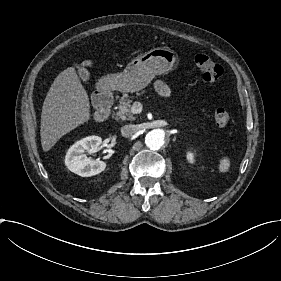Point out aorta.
Instances as JSON below:
<instances>
[{
	"mask_svg": "<svg viewBox=\"0 0 281 281\" xmlns=\"http://www.w3.org/2000/svg\"><path fill=\"white\" fill-rule=\"evenodd\" d=\"M166 142V134L162 129H154L147 133L145 144L151 150H159Z\"/></svg>",
	"mask_w": 281,
	"mask_h": 281,
	"instance_id": "obj_1",
	"label": "aorta"
}]
</instances>
